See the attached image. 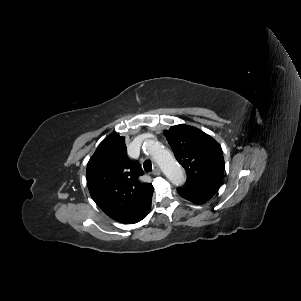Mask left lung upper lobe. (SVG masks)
Instances as JSON below:
<instances>
[{
  "label": "left lung upper lobe",
  "instance_id": "left-lung-upper-lobe-1",
  "mask_svg": "<svg viewBox=\"0 0 301 301\" xmlns=\"http://www.w3.org/2000/svg\"><path fill=\"white\" fill-rule=\"evenodd\" d=\"M177 161L185 168V188L216 193L224 175L221 146L203 131L185 124L164 132Z\"/></svg>",
  "mask_w": 301,
  "mask_h": 301
}]
</instances>
